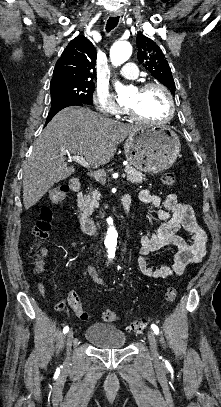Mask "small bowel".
Wrapping results in <instances>:
<instances>
[{
  "label": "small bowel",
  "instance_id": "c3829d8e",
  "mask_svg": "<svg viewBox=\"0 0 221 407\" xmlns=\"http://www.w3.org/2000/svg\"><path fill=\"white\" fill-rule=\"evenodd\" d=\"M139 199L143 203L151 204L156 209V216L160 221L152 233L145 234L141 238L138 266L145 277L165 279L173 275H180L189 264L198 262L205 256L206 233L198 223L195 212L190 205L178 201L174 194H169L165 199H162L147 189L140 191ZM181 228L191 235L189 243L177 234ZM168 244L176 247L172 264L156 268L149 266L146 256ZM84 275H90L96 283L106 285L94 267H89ZM38 287L42 296L45 297L44 283L39 282ZM74 299L75 296L71 293L68 301L72 302ZM64 306L65 304L61 300L55 303L57 310L63 309Z\"/></svg>",
  "mask_w": 221,
  "mask_h": 407
}]
</instances>
